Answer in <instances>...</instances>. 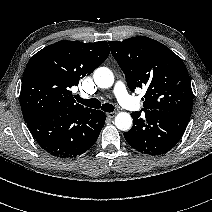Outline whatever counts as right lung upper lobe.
<instances>
[{"instance_id":"right-lung-upper-lobe-1","label":"right lung upper lobe","mask_w":212,"mask_h":212,"mask_svg":"<svg viewBox=\"0 0 212 212\" xmlns=\"http://www.w3.org/2000/svg\"><path fill=\"white\" fill-rule=\"evenodd\" d=\"M108 55L106 41H59L37 52L23 73L20 103L25 122L49 113L88 110L75 103L70 88L78 86Z\"/></svg>"}]
</instances>
